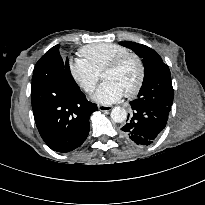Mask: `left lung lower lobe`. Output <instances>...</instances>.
Wrapping results in <instances>:
<instances>
[{"instance_id":"0a47b994","label":"left lung lower lobe","mask_w":205,"mask_h":205,"mask_svg":"<svg viewBox=\"0 0 205 205\" xmlns=\"http://www.w3.org/2000/svg\"><path fill=\"white\" fill-rule=\"evenodd\" d=\"M133 115L127 118V123L121 128L122 137L137 145H150L163 131L171 106L152 105L133 100L130 102Z\"/></svg>"}]
</instances>
